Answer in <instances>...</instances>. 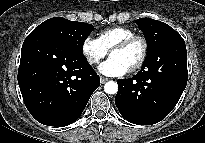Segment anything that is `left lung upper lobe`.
I'll use <instances>...</instances> for the list:
<instances>
[{
    "mask_svg": "<svg viewBox=\"0 0 205 143\" xmlns=\"http://www.w3.org/2000/svg\"><path fill=\"white\" fill-rule=\"evenodd\" d=\"M139 28L143 31L147 43L148 51L145 62L141 70L149 69L156 61H164L161 57L154 55L155 51L166 41L176 36H180L172 27L161 21L153 20L150 18H140L136 20Z\"/></svg>",
    "mask_w": 205,
    "mask_h": 143,
    "instance_id": "1",
    "label": "left lung upper lobe"
}]
</instances>
